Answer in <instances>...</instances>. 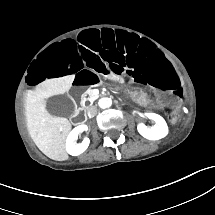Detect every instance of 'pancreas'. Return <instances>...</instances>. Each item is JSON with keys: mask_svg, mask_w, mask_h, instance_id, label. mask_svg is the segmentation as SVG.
Wrapping results in <instances>:
<instances>
[{"mask_svg": "<svg viewBox=\"0 0 215 215\" xmlns=\"http://www.w3.org/2000/svg\"><path fill=\"white\" fill-rule=\"evenodd\" d=\"M100 95H94L92 92V89H87V91L83 94V99L85 101L90 102V104H93L95 100L98 99Z\"/></svg>", "mask_w": 215, "mask_h": 215, "instance_id": "pancreas-1", "label": "pancreas"}]
</instances>
